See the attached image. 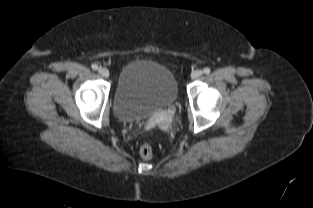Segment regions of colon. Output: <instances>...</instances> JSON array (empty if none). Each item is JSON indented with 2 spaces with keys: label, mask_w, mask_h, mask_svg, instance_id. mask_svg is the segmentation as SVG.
<instances>
[{
  "label": "colon",
  "mask_w": 313,
  "mask_h": 208,
  "mask_svg": "<svg viewBox=\"0 0 313 208\" xmlns=\"http://www.w3.org/2000/svg\"><path fill=\"white\" fill-rule=\"evenodd\" d=\"M139 152L144 159H150L154 154L153 147L149 143L142 144Z\"/></svg>",
  "instance_id": "1"
}]
</instances>
